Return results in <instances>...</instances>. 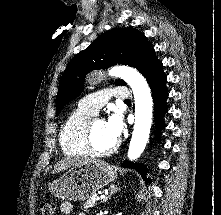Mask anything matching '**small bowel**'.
<instances>
[{"instance_id":"c3829d8e","label":"small bowel","mask_w":221,"mask_h":215,"mask_svg":"<svg viewBox=\"0 0 221 215\" xmlns=\"http://www.w3.org/2000/svg\"><path fill=\"white\" fill-rule=\"evenodd\" d=\"M61 211L64 214H70L72 212V205L69 202H64L61 205ZM80 215H83V214H80Z\"/></svg>"}]
</instances>
